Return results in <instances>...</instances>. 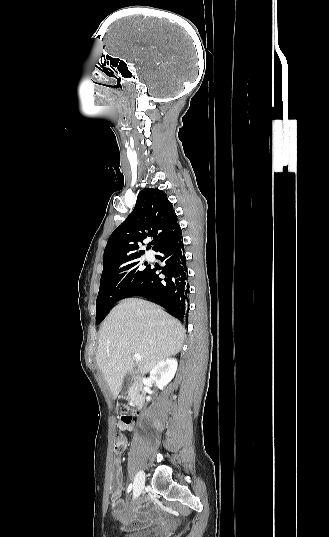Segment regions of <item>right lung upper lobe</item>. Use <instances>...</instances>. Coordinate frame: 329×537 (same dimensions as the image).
Returning a JSON list of instances; mask_svg holds the SVG:
<instances>
[{
	"label": "right lung upper lobe",
	"instance_id": "right-lung-upper-lobe-1",
	"mask_svg": "<svg viewBox=\"0 0 329 537\" xmlns=\"http://www.w3.org/2000/svg\"><path fill=\"white\" fill-rule=\"evenodd\" d=\"M177 216L159 189L147 188L138 193L133 212L119 225L108 239L104 250L103 267L120 265L140 258L145 251L139 248L148 237H153L156 250L179 230ZM151 248V243L146 249Z\"/></svg>",
	"mask_w": 329,
	"mask_h": 537
}]
</instances>
